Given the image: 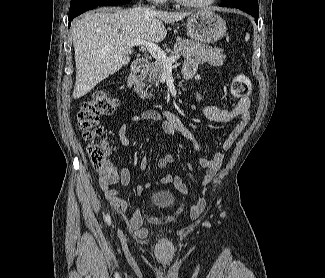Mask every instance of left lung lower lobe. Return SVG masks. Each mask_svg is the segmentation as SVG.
<instances>
[{"instance_id":"obj_1","label":"left lung lower lobe","mask_w":325,"mask_h":278,"mask_svg":"<svg viewBox=\"0 0 325 278\" xmlns=\"http://www.w3.org/2000/svg\"><path fill=\"white\" fill-rule=\"evenodd\" d=\"M220 6L241 9L252 15L258 23V0H224Z\"/></svg>"}]
</instances>
